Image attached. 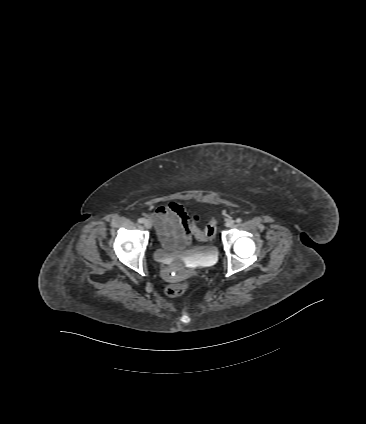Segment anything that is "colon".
Returning a JSON list of instances; mask_svg holds the SVG:
<instances>
[{
    "label": "colon",
    "mask_w": 366,
    "mask_h": 424,
    "mask_svg": "<svg viewBox=\"0 0 366 424\" xmlns=\"http://www.w3.org/2000/svg\"><path fill=\"white\" fill-rule=\"evenodd\" d=\"M198 217L194 216L193 218L189 219L188 217L185 220V225L187 229H189V232H191L197 239L200 240H209L214 237L216 233V227L217 222L216 220L210 221L203 229L199 228L197 225ZM188 288L187 283L181 282V283H174L170 284L167 289L166 293L170 297H178L183 295Z\"/></svg>",
    "instance_id": "1"
}]
</instances>
